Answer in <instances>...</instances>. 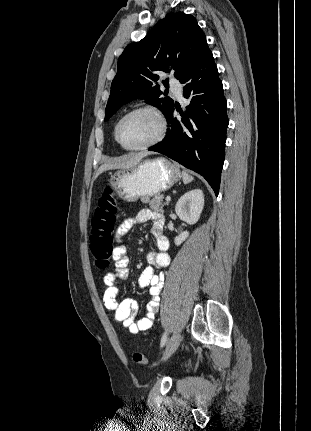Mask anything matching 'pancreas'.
<instances>
[{
    "label": "pancreas",
    "instance_id": "cf45deb5",
    "mask_svg": "<svg viewBox=\"0 0 311 431\" xmlns=\"http://www.w3.org/2000/svg\"><path fill=\"white\" fill-rule=\"evenodd\" d=\"M163 198L162 194H157V196H152V198H149V196L141 198V202L148 204L153 212H164L163 208L165 204H163Z\"/></svg>",
    "mask_w": 311,
    "mask_h": 431
}]
</instances>
